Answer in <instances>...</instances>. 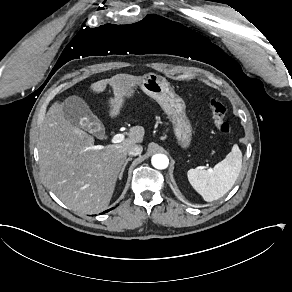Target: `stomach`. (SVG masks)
Listing matches in <instances>:
<instances>
[{
    "mask_svg": "<svg viewBox=\"0 0 292 292\" xmlns=\"http://www.w3.org/2000/svg\"><path fill=\"white\" fill-rule=\"evenodd\" d=\"M139 85L147 95L156 100L168 116L176 145L182 150H188L192 142L193 127L187 116L186 103L183 98L174 92L166 79L157 74L143 76ZM133 92L134 88L131 90L130 95Z\"/></svg>",
    "mask_w": 292,
    "mask_h": 292,
    "instance_id": "1",
    "label": "stomach"
}]
</instances>
